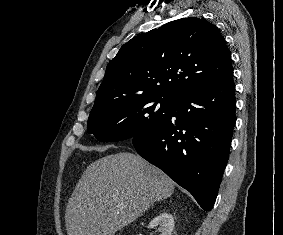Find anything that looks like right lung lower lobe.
I'll list each match as a JSON object with an SVG mask.
<instances>
[{"instance_id":"right-lung-lower-lobe-1","label":"right lung lower lobe","mask_w":283,"mask_h":235,"mask_svg":"<svg viewBox=\"0 0 283 235\" xmlns=\"http://www.w3.org/2000/svg\"><path fill=\"white\" fill-rule=\"evenodd\" d=\"M233 73L173 98L169 117L132 143L144 159L188 190L209 211L228 161L236 122Z\"/></svg>"}]
</instances>
